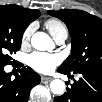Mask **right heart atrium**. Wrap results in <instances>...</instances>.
<instances>
[{"instance_id": "obj_1", "label": "right heart atrium", "mask_w": 102, "mask_h": 102, "mask_svg": "<svg viewBox=\"0 0 102 102\" xmlns=\"http://www.w3.org/2000/svg\"><path fill=\"white\" fill-rule=\"evenodd\" d=\"M33 30H34V25L33 24L29 25L26 28V30L23 33V41H28L29 40Z\"/></svg>"}]
</instances>
